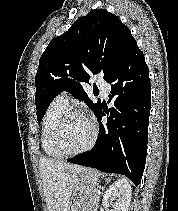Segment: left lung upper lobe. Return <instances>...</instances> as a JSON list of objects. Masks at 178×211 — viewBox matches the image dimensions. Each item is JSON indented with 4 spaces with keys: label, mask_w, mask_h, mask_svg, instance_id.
I'll use <instances>...</instances> for the list:
<instances>
[{
    "label": "left lung upper lobe",
    "mask_w": 178,
    "mask_h": 211,
    "mask_svg": "<svg viewBox=\"0 0 178 211\" xmlns=\"http://www.w3.org/2000/svg\"><path fill=\"white\" fill-rule=\"evenodd\" d=\"M136 45L129 28L102 9L79 18L67 32L53 38L40 57L35 76L38 122L63 90L82 99L97 114L101 104H93L83 83H89L92 74L107 80Z\"/></svg>",
    "instance_id": "left-lung-upper-lobe-1"
}]
</instances>
